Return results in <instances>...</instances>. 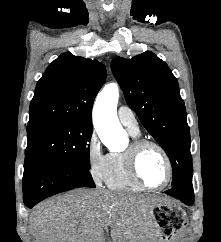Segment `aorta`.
<instances>
[{"mask_svg": "<svg viewBox=\"0 0 221 242\" xmlns=\"http://www.w3.org/2000/svg\"><path fill=\"white\" fill-rule=\"evenodd\" d=\"M118 98V84H107L98 94L93 109L95 130L102 142L111 150H117L127 137L117 117Z\"/></svg>", "mask_w": 221, "mask_h": 242, "instance_id": "obj_1", "label": "aorta"}]
</instances>
